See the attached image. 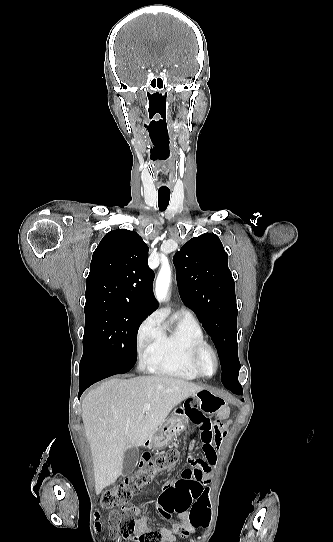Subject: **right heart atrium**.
I'll list each match as a JSON object with an SVG mask.
<instances>
[{
	"label": "right heart atrium",
	"instance_id": "obj_1",
	"mask_svg": "<svg viewBox=\"0 0 333 542\" xmlns=\"http://www.w3.org/2000/svg\"><path fill=\"white\" fill-rule=\"evenodd\" d=\"M161 336L159 322L155 317H149L140 326L138 331V345L142 349L155 343Z\"/></svg>",
	"mask_w": 333,
	"mask_h": 542
}]
</instances>
